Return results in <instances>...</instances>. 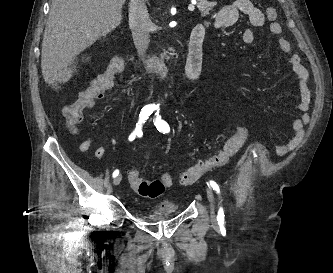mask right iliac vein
<instances>
[{
	"mask_svg": "<svg viewBox=\"0 0 333 273\" xmlns=\"http://www.w3.org/2000/svg\"><path fill=\"white\" fill-rule=\"evenodd\" d=\"M121 180H122V176H121V175H118V176H116V177L114 178V180H113V184H114L115 186H117V185L120 184Z\"/></svg>",
	"mask_w": 333,
	"mask_h": 273,
	"instance_id": "1",
	"label": "right iliac vein"
}]
</instances>
